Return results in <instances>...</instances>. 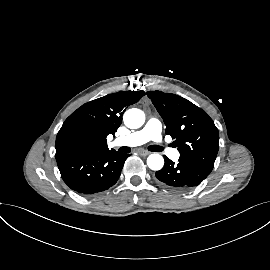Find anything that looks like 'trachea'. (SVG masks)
<instances>
[{"instance_id": "trachea-1", "label": "trachea", "mask_w": 270, "mask_h": 270, "mask_svg": "<svg viewBox=\"0 0 270 270\" xmlns=\"http://www.w3.org/2000/svg\"><path fill=\"white\" fill-rule=\"evenodd\" d=\"M149 150L150 151H154V152H160L161 151V147H159L157 145H151V146H149Z\"/></svg>"}]
</instances>
